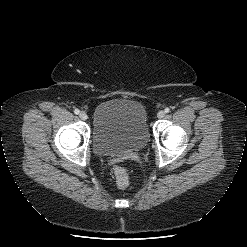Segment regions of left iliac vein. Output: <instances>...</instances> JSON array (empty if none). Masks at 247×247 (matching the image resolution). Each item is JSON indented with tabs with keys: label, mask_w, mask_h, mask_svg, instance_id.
<instances>
[{
	"label": "left iliac vein",
	"mask_w": 247,
	"mask_h": 247,
	"mask_svg": "<svg viewBox=\"0 0 247 247\" xmlns=\"http://www.w3.org/2000/svg\"><path fill=\"white\" fill-rule=\"evenodd\" d=\"M158 118H164L165 117V112L164 111H159L157 114Z\"/></svg>",
	"instance_id": "left-iliac-vein-1"
}]
</instances>
